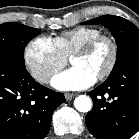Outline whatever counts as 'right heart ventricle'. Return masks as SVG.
<instances>
[{"instance_id":"obj_1","label":"right heart ventricle","mask_w":139,"mask_h":139,"mask_svg":"<svg viewBox=\"0 0 139 139\" xmlns=\"http://www.w3.org/2000/svg\"><path fill=\"white\" fill-rule=\"evenodd\" d=\"M101 34V30L98 28L79 26L62 32L54 37L52 41L63 56L67 57L72 55L78 47Z\"/></svg>"}]
</instances>
